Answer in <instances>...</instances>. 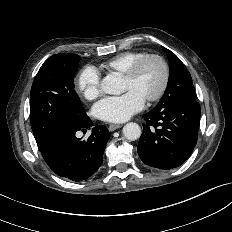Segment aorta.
<instances>
[{"instance_id": "obj_1", "label": "aorta", "mask_w": 232, "mask_h": 232, "mask_svg": "<svg viewBox=\"0 0 232 232\" xmlns=\"http://www.w3.org/2000/svg\"><path fill=\"white\" fill-rule=\"evenodd\" d=\"M101 89L110 95H118L123 92V80L117 74H108L101 81ZM123 134L126 139L134 141L141 136V128L137 123L130 122L123 127Z\"/></svg>"}]
</instances>
